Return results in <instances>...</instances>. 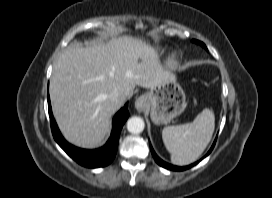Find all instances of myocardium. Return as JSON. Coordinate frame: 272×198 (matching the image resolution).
<instances>
[{
	"mask_svg": "<svg viewBox=\"0 0 272 198\" xmlns=\"http://www.w3.org/2000/svg\"><path fill=\"white\" fill-rule=\"evenodd\" d=\"M178 62V56L177 55H173L170 59H169V64L171 66H175Z\"/></svg>",
	"mask_w": 272,
	"mask_h": 198,
	"instance_id": "myocardium-1",
	"label": "myocardium"
}]
</instances>
